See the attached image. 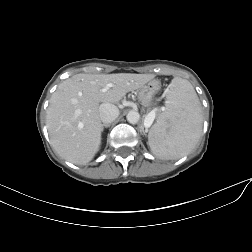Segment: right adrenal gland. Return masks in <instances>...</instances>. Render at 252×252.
Wrapping results in <instances>:
<instances>
[{
	"instance_id": "1",
	"label": "right adrenal gland",
	"mask_w": 252,
	"mask_h": 252,
	"mask_svg": "<svg viewBox=\"0 0 252 252\" xmlns=\"http://www.w3.org/2000/svg\"><path fill=\"white\" fill-rule=\"evenodd\" d=\"M107 127H110V124H102V128H101V130L103 131V130H104V128H107Z\"/></svg>"
}]
</instances>
